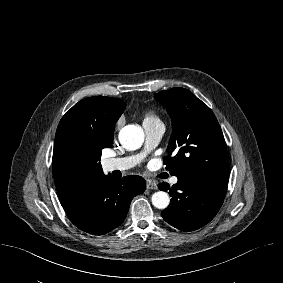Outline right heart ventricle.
I'll list each match as a JSON object with an SVG mask.
<instances>
[{"label": "right heart ventricle", "mask_w": 283, "mask_h": 283, "mask_svg": "<svg viewBox=\"0 0 283 283\" xmlns=\"http://www.w3.org/2000/svg\"><path fill=\"white\" fill-rule=\"evenodd\" d=\"M159 119L156 114L152 111L146 112L144 115L143 123L145 122H158Z\"/></svg>", "instance_id": "1"}]
</instances>
